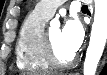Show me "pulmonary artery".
Returning a JSON list of instances; mask_svg holds the SVG:
<instances>
[{
  "label": "pulmonary artery",
  "instance_id": "1",
  "mask_svg": "<svg viewBox=\"0 0 107 75\" xmlns=\"http://www.w3.org/2000/svg\"><path fill=\"white\" fill-rule=\"evenodd\" d=\"M65 2V0H43L40 1L35 10L43 17L49 19L53 16L56 9Z\"/></svg>",
  "mask_w": 107,
  "mask_h": 75
}]
</instances>
